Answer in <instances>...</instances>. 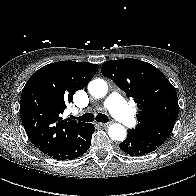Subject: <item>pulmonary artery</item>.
<instances>
[{"mask_svg":"<svg viewBox=\"0 0 196 196\" xmlns=\"http://www.w3.org/2000/svg\"><path fill=\"white\" fill-rule=\"evenodd\" d=\"M106 105L113 116L125 126L133 127L135 125V117L120 95L117 93L110 94L106 99Z\"/></svg>","mask_w":196,"mask_h":196,"instance_id":"e3ab8cb5","label":"pulmonary artery"}]
</instances>
